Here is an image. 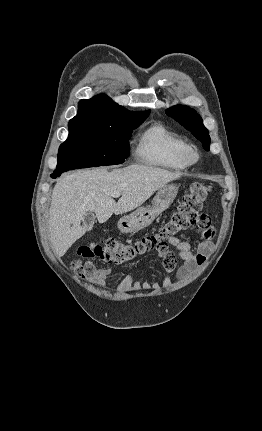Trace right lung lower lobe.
<instances>
[{"label": "right lung lower lobe", "instance_id": "obj_1", "mask_svg": "<svg viewBox=\"0 0 262 431\" xmlns=\"http://www.w3.org/2000/svg\"><path fill=\"white\" fill-rule=\"evenodd\" d=\"M61 173L62 172H54L53 174H51V177L56 178V177L60 176Z\"/></svg>", "mask_w": 262, "mask_h": 431}]
</instances>
